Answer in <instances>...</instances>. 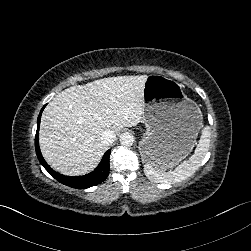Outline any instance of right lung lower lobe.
Segmentation results:
<instances>
[{"mask_svg": "<svg viewBox=\"0 0 251 251\" xmlns=\"http://www.w3.org/2000/svg\"><path fill=\"white\" fill-rule=\"evenodd\" d=\"M46 106V105H45ZM44 106V107H45ZM44 107L42 108V110L40 111V114L38 116V120H37V132H36V136H35V150H36V154L37 157L40 161V163L43 165V167L51 174V176H53L57 181H59L60 183L73 187V188H77V189H86L92 186H95L97 184H100L101 182H103L108 174H109V170H110V164H109V156L111 153V150H108L100 164L98 165V167L91 173L84 175V176H79V177H69V176H64L61 175L57 172H55L43 159L41 152H40V148H39V126H40V118H41V113L44 109Z\"/></svg>", "mask_w": 251, "mask_h": 251, "instance_id": "right-lung-lower-lobe-1", "label": "right lung lower lobe"}]
</instances>
